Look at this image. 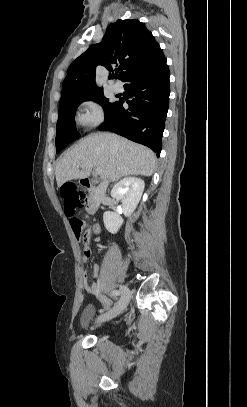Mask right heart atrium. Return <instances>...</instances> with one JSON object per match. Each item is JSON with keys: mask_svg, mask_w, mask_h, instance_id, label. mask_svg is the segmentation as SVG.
Masks as SVG:
<instances>
[{"mask_svg": "<svg viewBox=\"0 0 247 407\" xmlns=\"http://www.w3.org/2000/svg\"><path fill=\"white\" fill-rule=\"evenodd\" d=\"M104 110L95 99H86L79 104L76 120L82 127L94 128L104 121Z\"/></svg>", "mask_w": 247, "mask_h": 407, "instance_id": "1", "label": "right heart atrium"}]
</instances>
